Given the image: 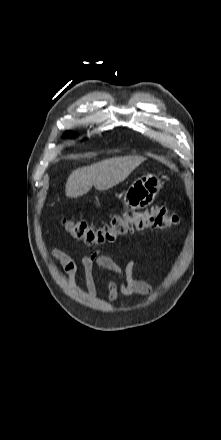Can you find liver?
<instances>
[{
    "instance_id": "liver-1",
    "label": "liver",
    "mask_w": 221,
    "mask_h": 440,
    "mask_svg": "<svg viewBox=\"0 0 221 440\" xmlns=\"http://www.w3.org/2000/svg\"><path fill=\"white\" fill-rule=\"evenodd\" d=\"M146 158L140 156L115 157L74 170L65 185V194L77 198L87 194L92 186L108 190L124 181Z\"/></svg>"
}]
</instances>
